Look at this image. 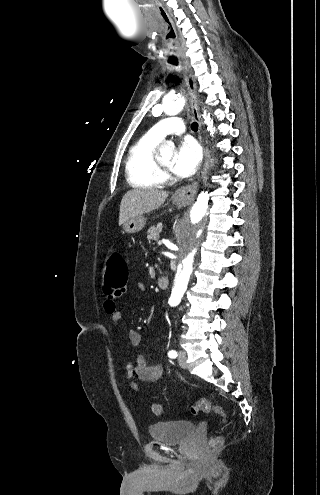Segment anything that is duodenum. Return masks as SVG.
<instances>
[{
    "mask_svg": "<svg viewBox=\"0 0 320 495\" xmlns=\"http://www.w3.org/2000/svg\"><path fill=\"white\" fill-rule=\"evenodd\" d=\"M158 286L160 289H167L169 286V278L162 276L158 279Z\"/></svg>",
    "mask_w": 320,
    "mask_h": 495,
    "instance_id": "410a0bca",
    "label": "duodenum"
}]
</instances>
